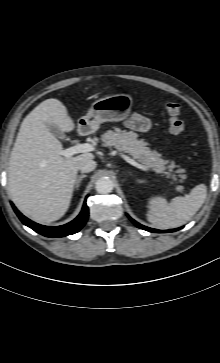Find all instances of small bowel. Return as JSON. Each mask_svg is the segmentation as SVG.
I'll return each instance as SVG.
<instances>
[{
  "label": "small bowel",
  "mask_w": 220,
  "mask_h": 363,
  "mask_svg": "<svg viewBox=\"0 0 220 363\" xmlns=\"http://www.w3.org/2000/svg\"><path fill=\"white\" fill-rule=\"evenodd\" d=\"M127 126L139 132H147L151 127V123L148 118L140 114H132L127 120Z\"/></svg>",
  "instance_id": "1"
}]
</instances>
